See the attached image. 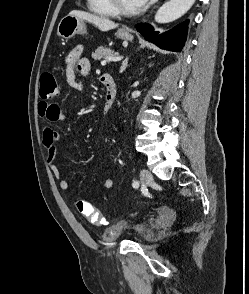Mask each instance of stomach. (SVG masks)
<instances>
[{"instance_id": "stomach-1", "label": "stomach", "mask_w": 249, "mask_h": 294, "mask_svg": "<svg viewBox=\"0 0 249 294\" xmlns=\"http://www.w3.org/2000/svg\"><path fill=\"white\" fill-rule=\"evenodd\" d=\"M86 26L84 20L68 14L61 19L58 24L57 34L62 39H71L76 34H85ZM117 37L122 40H132L133 36L128 29L121 28L116 33Z\"/></svg>"}]
</instances>
